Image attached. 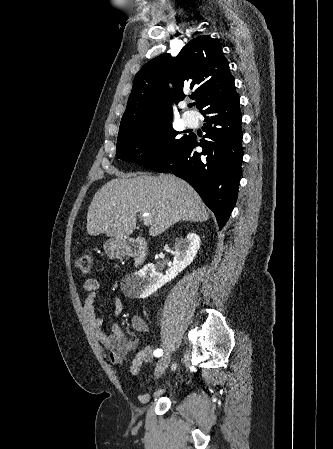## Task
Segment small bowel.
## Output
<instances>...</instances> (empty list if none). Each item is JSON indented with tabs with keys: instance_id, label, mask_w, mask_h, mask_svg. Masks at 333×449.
<instances>
[{
	"instance_id": "c3829d8e",
	"label": "small bowel",
	"mask_w": 333,
	"mask_h": 449,
	"mask_svg": "<svg viewBox=\"0 0 333 449\" xmlns=\"http://www.w3.org/2000/svg\"><path fill=\"white\" fill-rule=\"evenodd\" d=\"M99 288L100 285L96 279H88L84 282L83 289L86 298L83 304V311L94 331L95 337L108 350L111 361L114 364L122 365L128 353L137 348L138 340L126 335L120 325L115 322L110 325L108 331L104 330L103 321L95 312V300L98 296ZM113 305V316L116 317L121 313L123 305L117 297L114 298ZM131 322L137 332L145 333L148 331V325L141 316H133ZM154 349L152 344H146L137 352L130 364V371L133 374L138 373L143 363L152 358Z\"/></svg>"
}]
</instances>
